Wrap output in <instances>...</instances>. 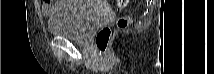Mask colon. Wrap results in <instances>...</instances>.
Returning a JSON list of instances; mask_svg holds the SVG:
<instances>
[{"label":"colon","instance_id":"obj_1","mask_svg":"<svg viewBox=\"0 0 214 74\" xmlns=\"http://www.w3.org/2000/svg\"><path fill=\"white\" fill-rule=\"evenodd\" d=\"M128 0H118L116 1V8L118 10L123 9ZM130 17H120L116 21V26L118 29H126L130 24ZM112 36V29L109 26L101 27L95 36V44L98 47V49L105 53L108 49L110 40Z\"/></svg>","mask_w":214,"mask_h":74}]
</instances>
